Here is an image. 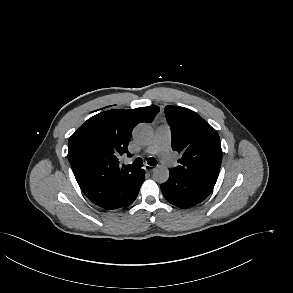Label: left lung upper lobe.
Returning <instances> with one entry per match:
<instances>
[{
    "instance_id": "left-lung-upper-lobe-1",
    "label": "left lung upper lobe",
    "mask_w": 293,
    "mask_h": 293,
    "mask_svg": "<svg viewBox=\"0 0 293 293\" xmlns=\"http://www.w3.org/2000/svg\"><path fill=\"white\" fill-rule=\"evenodd\" d=\"M167 122L171 128L172 149L183 154L180 166L173 168L185 177L216 183L221 161L220 138L196 112L168 105L165 107Z\"/></svg>"
}]
</instances>
